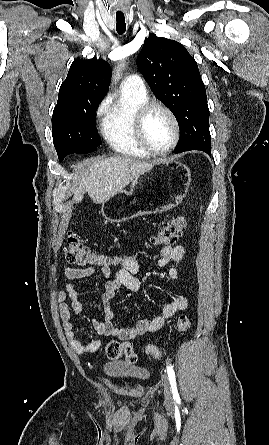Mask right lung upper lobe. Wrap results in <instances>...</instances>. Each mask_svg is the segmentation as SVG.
<instances>
[{
  "mask_svg": "<svg viewBox=\"0 0 269 445\" xmlns=\"http://www.w3.org/2000/svg\"><path fill=\"white\" fill-rule=\"evenodd\" d=\"M111 77L109 64L92 58L75 60L65 81L61 84L58 104L71 101L102 100L106 95Z\"/></svg>",
  "mask_w": 269,
  "mask_h": 445,
  "instance_id": "1",
  "label": "right lung upper lobe"
}]
</instances>
